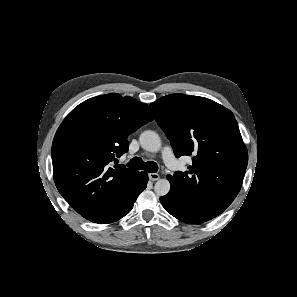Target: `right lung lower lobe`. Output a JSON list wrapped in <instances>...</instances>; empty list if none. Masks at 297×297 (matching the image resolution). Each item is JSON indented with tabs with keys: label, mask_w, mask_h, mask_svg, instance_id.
Masks as SVG:
<instances>
[{
	"label": "right lung lower lobe",
	"mask_w": 297,
	"mask_h": 297,
	"mask_svg": "<svg viewBox=\"0 0 297 297\" xmlns=\"http://www.w3.org/2000/svg\"><path fill=\"white\" fill-rule=\"evenodd\" d=\"M147 182V173L137 172L111 206L94 222L112 223L127 215L133 208L138 195L146 188Z\"/></svg>",
	"instance_id": "right-lung-lower-lobe-1"
}]
</instances>
